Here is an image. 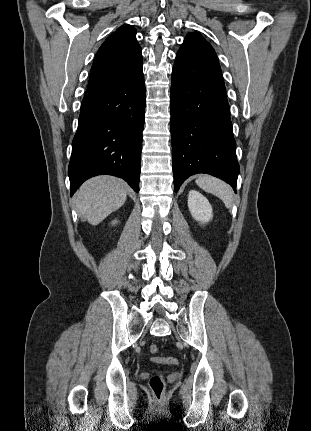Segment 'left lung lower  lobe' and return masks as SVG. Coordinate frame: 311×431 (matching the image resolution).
I'll return each instance as SVG.
<instances>
[{"mask_svg": "<svg viewBox=\"0 0 311 431\" xmlns=\"http://www.w3.org/2000/svg\"><path fill=\"white\" fill-rule=\"evenodd\" d=\"M170 107L175 192L196 173L218 177L236 192V142L218 61L179 50Z\"/></svg>", "mask_w": 311, "mask_h": 431, "instance_id": "1", "label": "left lung lower lobe"}]
</instances>
